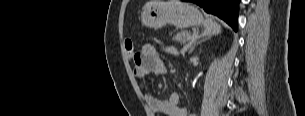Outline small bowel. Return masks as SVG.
<instances>
[{"label":"small bowel","instance_id":"small-bowel-1","mask_svg":"<svg viewBox=\"0 0 305 116\" xmlns=\"http://www.w3.org/2000/svg\"><path fill=\"white\" fill-rule=\"evenodd\" d=\"M165 50L169 53H175L172 47H167ZM165 71L166 63L159 57L156 47L145 44L140 53L137 54L133 73L144 91L143 97L149 110L153 114L162 113L167 116H194L183 105V98L179 93L174 92L168 100H161L145 91V77L150 73L162 75Z\"/></svg>","mask_w":305,"mask_h":116}]
</instances>
